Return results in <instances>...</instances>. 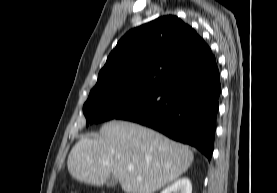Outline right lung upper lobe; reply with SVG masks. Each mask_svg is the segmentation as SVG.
<instances>
[{
	"mask_svg": "<svg viewBox=\"0 0 277 193\" xmlns=\"http://www.w3.org/2000/svg\"><path fill=\"white\" fill-rule=\"evenodd\" d=\"M212 56L209 46L192 27L177 16H163L130 30L120 39L91 92L125 86L158 89Z\"/></svg>",
	"mask_w": 277,
	"mask_h": 193,
	"instance_id": "cb5924a9",
	"label": "right lung upper lobe"
}]
</instances>
